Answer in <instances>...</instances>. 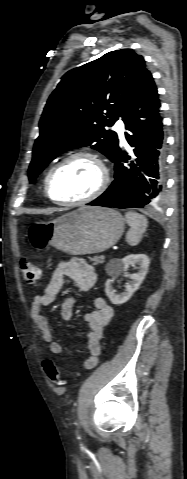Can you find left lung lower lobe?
I'll use <instances>...</instances> for the list:
<instances>
[{"mask_svg":"<svg viewBox=\"0 0 187 479\" xmlns=\"http://www.w3.org/2000/svg\"><path fill=\"white\" fill-rule=\"evenodd\" d=\"M125 137L134 147V161L119 148L115 180L88 205L143 208L160 202L164 195L165 141L160 101L152 75L145 78L140 93L125 120ZM130 160V163H128Z\"/></svg>","mask_w":187,"mask_h":479,"instance_id":"0a47b994","label":"left lung lower lobe"}]
</instances>
